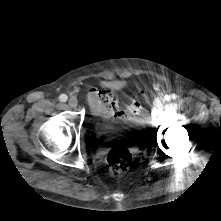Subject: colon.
<instances>
[{"label": "colon", "instance_id": "1", "mask_svg": "<svg viewBox=\"0 0 221 221\" xmlns=\"http://www.w3.org/2000/svg\"><path fill=\"white\" fill-rule=\"evenodd\" d=\"M105 103H109L111 100L109 98H103ZM134 112L139 111V102L136 100L132 105ZM132 162V156L130 151L121 146L117 145L112 147L106 156V165L109 174L112 177H119L123 175L129 168Z\"/></svg>", "mask_w": 221, "mask_h": 221}]
</instances>
